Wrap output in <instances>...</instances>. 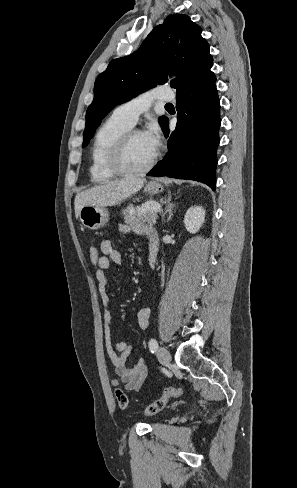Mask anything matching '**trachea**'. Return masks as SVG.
<instances>
[{
	"mask_svg": "<svg viewBox=\"0 0 297 488\" xmlns=\"http://www.w3.org/2000/svg\"><path fill=\"white\" fill-rule=\"evenodd\" d=\"M165 107H173V105L171 103H167Z\"/></svg>",
	"mask_w": 297,
	"mask_h": 488,
	"instance_id": "3493384b",
	"label": "trachea"
}]
</instances>
